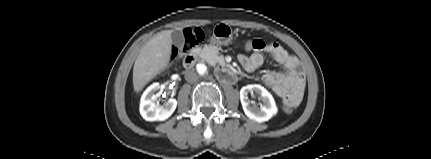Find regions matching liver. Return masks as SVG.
<instances>
[{
	"label": "liver",
	"instance_id": "obj_1",
	"mask_svg": "<svg viewBox=\"0 0 431 159\" xmlns=\"http://www.w3.org/2000/svg\"><path fill=\"white\" fill-rule=\"evenodd\" d=\"M171 33V30L158 33L140 50L133 68V87L136 93L168 67L172 54Z\"/></svg>",
	"mask_w": 431,
	"mask_h": 159
}]
</instances>
